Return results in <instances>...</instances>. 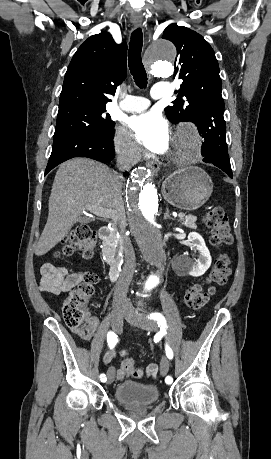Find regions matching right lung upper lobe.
I'll use <instances>...</instances> for the list:
<instances>
[{"label": "right lung upper lobe", "mask_w": 271, "mask_h": 459, "mask_svg": "<svg viewBox=\"0 0 271 459\" xmlns=\"http://www.w3.org/2000/svg\"><path fill=\"white\" fill-rule=\"evenodd\" d=\"M127 45H117L108 32L89 37L74 54L65 74L59 111L105 108L126 78Z\"/></svg>", "instance_id": "obj_1"}]
</instances>
